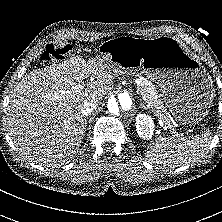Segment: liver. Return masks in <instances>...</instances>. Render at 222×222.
I'll return each instance as SVG.
<instances>
[{
	"mask_svg": "<svg viewBox=\"0 0 222 222\" xmlns=\"http://www.w3.org/2000/svg\"><path fill=\"white\" fill-rule=\"evenodd\" d=\"M106 64L81 56L33 70L13 89L6 126L17 149L30 161L51 166L71 160L85 134L84 101L100 103L113 88ZM93 75L97 80L85 84Z\"/></svg>",
	"mask_w": 222,
	"mask_h": 222,
	"instance_id": "liver-1",
	"label": "liver"
}]
</instances>
